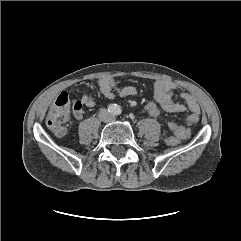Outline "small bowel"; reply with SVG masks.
Wrapping results in <instances>:
<instances>
[{"label": "small bowel", "instance_id": "obj_1", "mask_svg": "<svg viewBox=\"0 0 241 241\" xmlns=\"http://www.w3.org/2000/svg\"><path fill=\"white\" fill-rule=\"evenodd\" d=\"M100 92L108 99H114L117 96L129 97L137 94V89L134 86H125L120 88L116 81L109 77L100 78L97 81ZM176 94H179L183 102L175 100ZM154 100L165 111L171 113L190 111L192 114L200 113V106L196 99L188 93L180 92L177 85L171 81L159 80L154 85ZM79 102L88 108L95 107L96 103L92 96L83 94ZM82 110L74 113L76 118L82 117Z\"/></svg>", "mask_w": 241, "mask_h": 241}]
</instances>
